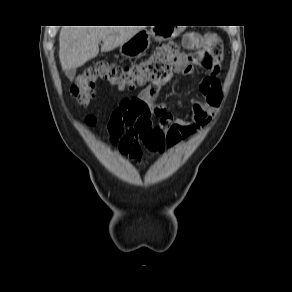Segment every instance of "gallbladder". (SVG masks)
<instances>
[{"label":"gallbladder","mask_w":292,"mask_h":292,"mask_svg":"<svg viewBox=\"0 0 292 292\" xmlns=\"http://www.w3.org/2000/svg\"><path fill=\"white\" fill-rule=\"evenodd\" d=\"M76 74V69H70L67 71V77L72 80Z\"/></svg>","instance_id":"bac80fb5"}]
</instances>
